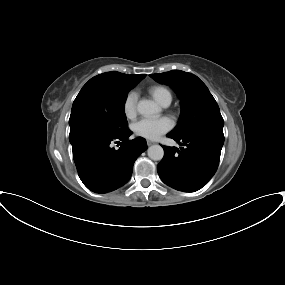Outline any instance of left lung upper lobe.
Listing matches in <instances>:
<instances>
[{
    "label": "left lung upper lobe",
    "instance_id": "obj_1",
    "mask_svg": "<svg viewBox=\"0 0 285 285\" xmlns=\"http://www.w3.org/2000/svg\"><path fill=\"white\" fill-rule=\"evenodd\" d=\"M150 76L157 82L172 87L181 99V116L172 135L185 137L206 130L223 134L224 121L220 109L206 85L197 76L181 70Z\"/></svg>",
    "mask_w": 285,
    "mask_h": 285
}]
</instances>
